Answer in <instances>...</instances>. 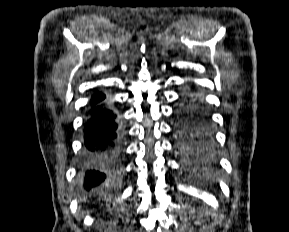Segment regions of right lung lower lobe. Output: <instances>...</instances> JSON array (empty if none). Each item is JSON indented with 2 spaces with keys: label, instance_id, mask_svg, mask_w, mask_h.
<instances>
[{
  "label": "right lung lower lobe",
  "instance_id": "right-lung-lower-lobe-1",
  "mask_svg": "<svg viewBox=\"0 0 289 232\" xmlns=\"http://www.w3.org/2000/svg\"><path fill=\"white\" fill-rule=\"evenodd\" d=\"M84 123V154L81 172L85 188L90 189L106 179L109 168L116 165L122 150L123 126L106 102V96L93 97Z\"/></svg>",
  "mask_w": 289,
  "mask_h": 232
}]
</instances>
